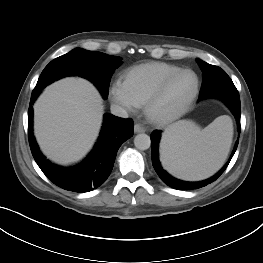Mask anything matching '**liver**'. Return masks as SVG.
Instances as JSON below:
<instances>
[{
    "label": "liver",
    "mask_w": 263,
    "mask_h": 263,
    "mask_svg": "<svg viewBox=\"0 0 263 263\" xmlns=\"http://www.w3.org/2000/svg\"><path fill=\"white\" fill-rule=\"evenodd\" d=\"M102 115V99L92 83L64 78L49 85L34 104V133L49 159L67 165L91 149Z\"/></svg>",
    "instance_id": "6515ba94"
}]
</instances>
